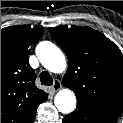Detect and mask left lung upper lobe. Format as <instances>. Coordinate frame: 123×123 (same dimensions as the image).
Here are the masks:
<instances>
[{
	"instance_id": "5c2ea615",
	"label": "left lung upper lobe",
	"mask_w": 123,
	"mask_h": 123,
	"mask_svg": "<svg viewBox=\"0 0 123 123\" xmlns=\"http://www.w3.org/2000/svg\"><path fill=\"white\" fill-rule=\"evenodd\" d=\"M65 51L69 68L63 80L78 102L120 114L123 109V56L106 36L90 27L49 28Z\"/></svg>"
}]
</instances>
